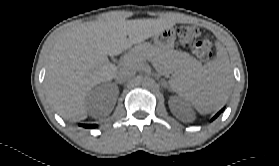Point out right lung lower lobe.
<instances>
[{"instance_id":"right-lung-lower-lobe-1","label":"right lung lower lobe","mask_w":279,"mask_h":166,"mask_svg":"<svg viewBox=\"0 0 279 166\" xmlns=\"http://www.w3.org/2000/svg\"><path fill=\"white\" fill-rule=\"evenodd\" d=\"M80 126H83V127H86V128H94V127H96L95 124H92V125L80 124Z\"/></svg>"}]
</instances>
